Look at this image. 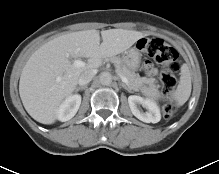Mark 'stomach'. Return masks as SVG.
I'll return each mask as SVG.
<instances>
[{
    "label": "stomach",
    "instance_id": "stomach-1",
    "mask_svg": "<svg viewBox=\"0 0 219 174\" xmlns=\"http://www.w3.org/2000/svg\"><path fill=\"white\" fill-rule=\"evenodd\" d=\"M141 62V50L134 46L133 48L127 50L124 56V63L131 70H136Z\"/></svg>",
    "mask_w": 219,
    "mask_h": 174
}]
</instances>
